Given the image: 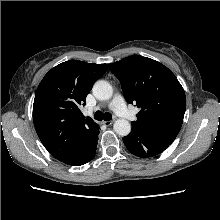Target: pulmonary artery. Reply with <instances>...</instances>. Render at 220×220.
Listing matches in <instances>:
<instances>
[{"mask_svg": "<svg viewBox=\"0 0 220 220\" xmlns=\"http://www.w3.org/2000/svg\"><path fill=\"white\" fill-rule=\"evenodd\" d=\"M110 108L115 111V113L122 118L131 119V114L129 113L124 100L121 95L116 94L109 104Z\"/></svg>", "mask_w": 220, "mask_h": 220, "instance_id": "1", "label": "pulmonary artery"}]
</instances>
